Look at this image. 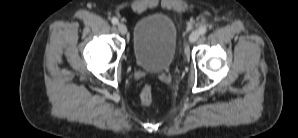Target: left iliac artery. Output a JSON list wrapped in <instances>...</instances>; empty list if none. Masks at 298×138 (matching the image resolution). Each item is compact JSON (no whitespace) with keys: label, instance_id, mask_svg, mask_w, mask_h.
I'll return each mask as SVG.
<instances>
[{"label":"left iliac artery","instance_id":"1","mask_svg":"<svg viewBox=\"0 0 298 138\" xmlns=\"http://www.w3.org/2000/svg\"><path fill=\"white\" fill-rule=\"evenodd\" d=\"M207 32V27L206 26H201L200 28H199V33H200V35H203V34H205Z\"/></svg>","mask_w":298,"mask_h":138}]
</instances>
